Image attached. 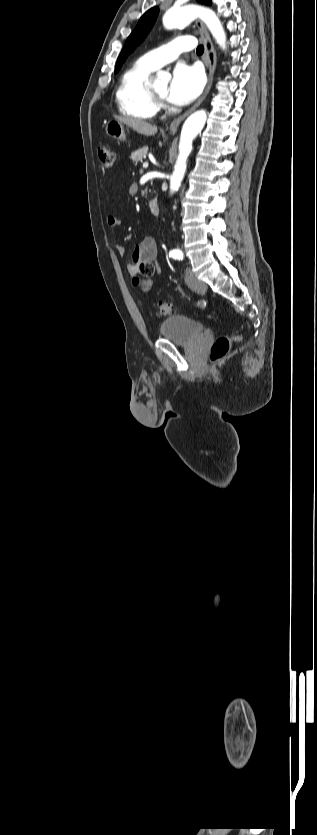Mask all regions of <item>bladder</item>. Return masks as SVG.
<instances>
[{"instance_id": "31cf9c89", "label": "bladder", "mask_w": 317, "mask_h": 835, "mask_svg": "<svg viewBox=\"0 0 317 835\" xmlns=\"http://www.w3.org/2000/svg\"><path fill=\"white\" fill-rule=\"evenodd\" d=\"M204 330V325L199 321L187 316L172 315L161 322L159 334L177 345H189L199 339Z\"/></svg>"}]
</instances>
